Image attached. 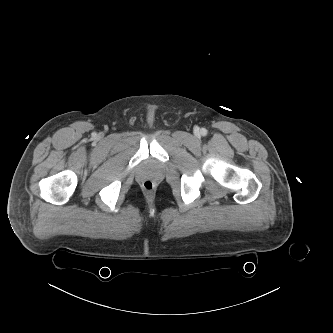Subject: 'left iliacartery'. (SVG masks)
<instances>
[{"label":"left iliac artery","instance_id":"left-iliac-artery-1","mask_svg":"<svg viewBox=\"0 0 333 333\" xmlns=\"http://www.w3.org/2000/svg\"><path fill=\"white\" fill-rule=\"evenodd\" d=\"M201 133H202L203 135H206L207 130L203 128V129L201 130Z\"/></svg>","mask_w":333,"mask_h":333}]
</instances>
